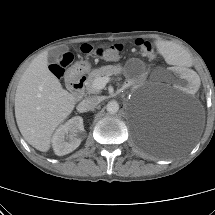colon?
I'll return each mask as SVG.
<instances>
[{
  "label": "colon",
  "instance_id": "5ec220e1",
  "mask_svg": "<svg viewBox=\"0 0 215 215\" xmlns=\"http://www.w3.org/2000/svg\"><path fill=\"white\" fill-rule=\"evenodd\" d=\"M137 44L142 48L143 54L147 57H154L153 48L150 43L142 40L137 41ZM121 50L120 45H112L109 47H93L90 44H83L81 46V52L84 54H93L99 58L105 60H114L118 57ZM72 60L70 55L64 56L60 64H54L51 66L52 72L60 77L63 74V67L69 64Z\"/></svg>",
  "mask_w": 215,
  "mask_h": 215
}]
</instances>
